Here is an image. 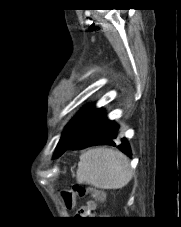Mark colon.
Wrapping results in <instances>:
<instances>
[{
    "mask_svg": "<svg viewBox=\"0 0 181 227\" xmlns=\"http://www.w3.org/2000/svg\"><path fill=\"white\" fill-rule=\"evenodd\" d=\"M61 196L68 209H72L74 207L76 198L88 196L90 202L99 201L101 203L105 199L103 191L87 187L82 184H74L71 190L62 192Z\"/></svg>",
    "mask_w": 181,
    "mask_h": 227,
    "instance_id": "colon-1",
    "label": "colon"
}]
</instances>
